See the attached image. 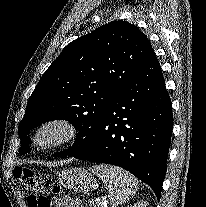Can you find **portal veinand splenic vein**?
Wrapping results in <instances>:
<instances>
[{"label": "portal vein and splenic vein", "mask_w": 206, "mask_h": 207, "mask_svg": "<svg viewBox=\"0 0 206 207\" xmlns=\"http://www.w3.org/2000/svg\"><path fill=\"white\" fill-rule=\"evenodd\" d=\"M102 207H107V204H106V202L104 201V202H102Z\"/></svg>", "instance_id": "1"}]
</instances>
